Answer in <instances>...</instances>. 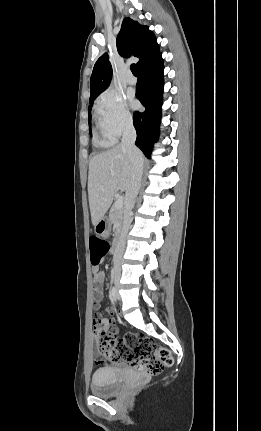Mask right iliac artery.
<instances>
[{"mask_svg":"<svg viewBox=\"0 0 261 431\" xmlns=\"http://www.w3.org/2000/svg\"><path fill=\"white\" fill-rule=\"evenodd\" d=\"M110 297L113 298V299L116 298V289H115V287H112L110 289Z\"/></svg>","mask_w":261,"mask_h":431,"instance_id":"1","label":"right iliac artery"}]
</instances>
